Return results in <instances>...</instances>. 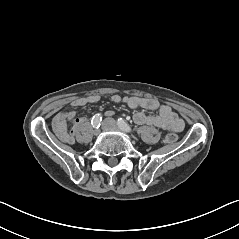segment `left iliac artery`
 Wrapping results in <instances>:
<instances>
[{"label": "left iliac artery", "instance_id": "44dca946", "mask_svg": "<svg viewBox=\"0 0 239 239\" xmlns=\"http://www.w3.org/2000/svg\"><path fill=\"white\" fill-rule=\"evenodd\" d=\"M117 124L121 130L128 132V133L132 132V128L127 124V122L124 119L119 118L117 120Z\"/></svg>", "mask_w": 239, "mask_h": 239}]
</instances>
